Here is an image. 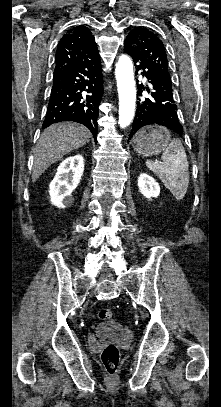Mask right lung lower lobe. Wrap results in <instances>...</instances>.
Instances as JSON below:
<instances>
[{
    "label": "right lung lower lobe",
    "mask_w": 221,
    "mask_h": 407,
    "mask_svg": "<svg viewBox=\"0 0 221 407\" xmlns=\"http://www.w3.org/2000/svg\"><path fill=\"white\" fill-rule=\"evenodd\" d=\"M102 95V68L97 49L90 58L54 74L43 129L53 123L74 121L85 125L96 139Z\"/></svg>",
    "instance_id": "obj_1"
}]
</instances>
